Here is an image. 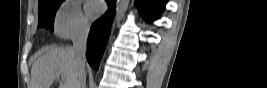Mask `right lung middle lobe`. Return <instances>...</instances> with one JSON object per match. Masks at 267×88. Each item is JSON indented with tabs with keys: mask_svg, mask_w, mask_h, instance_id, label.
<instances>
[{
	"mask_svg": "<svg viewBox=\"0 0 267 88\" xmlns=\"http://www.w3.org/2000/svg\"><path fill=\"white\" fill-rule=\"evenodd\" d=\"M64 0H42L38 5V27H46L53 31L57 9Z\"/></svg>",
	"mask_w": 267,
	"mask_h": 88,
	"instance_id": "right-lung-middle-lobe-1",
	"label": "right lung middle lobe"
}]
</instances>
